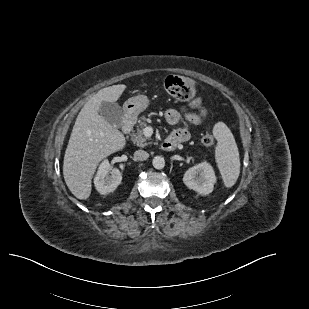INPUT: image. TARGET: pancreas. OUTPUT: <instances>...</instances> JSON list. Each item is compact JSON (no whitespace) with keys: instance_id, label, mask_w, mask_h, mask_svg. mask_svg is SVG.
Returning <instances> with one entry per match:
<instances>
[{"instance_id":"cf45deb5","label":"pancreas","mask_w":309,"mask_h":309,"mask_svg":"<svg viewBox=\"0 0 309 309\" xmlns=\"http://www.w3.org/2000/svg\"><path fill=\"white\" fill-rule=\"evenodd\" d=\"M138 123L139 124L137 125V131H133L131 134V140L137 146L145 147L150 144V142H148V138L145 137L143 134V129L147 126V124L145 122V119L139 120Z\"/></svg>"}]
</instances>
